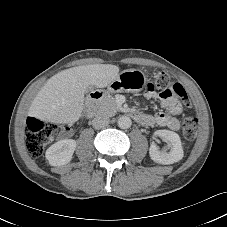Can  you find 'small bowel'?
Listing matches in <instances>:
<instances>
[{"label":"small bowel","instance_id":"small-bowel-1","mask_svg":"<svg viewBox=\"0 0 227 227\" xmlns=\"http://www.w3.org/2000/svg\"><path fill=\"white\" fill-rule=\"evenodd\" d=\"M146 98L153 99L155 102H160L164 112H157L154 115L144 114L145 120L141 123L145 126H153L155 124L169 128L176 131L180 124L177 115L182 112V105L179 100L173 96L171 89L157 90L155 83H148L146 85Z\"/></svg>","mask_w":227,"mask_h":227}]
</instances>
